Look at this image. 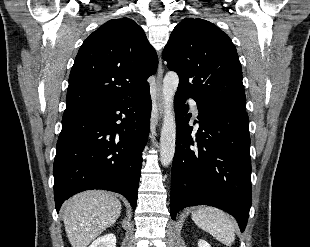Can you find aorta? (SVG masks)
Segmentation results:
<instances>
[{"label": "aorta", "instance_id": "obj_1", "mask_svg": "<svg viewBox=\"0 0 310 247\" xmlns=\"http://www.w3.org/2000/svg\"><path fill=\"white\" fill-rule=\"evenodd\" d=\"M179 84L175 72H168L163 80L162 94L164 118L160 137V161L164 167L170 165L175 154L176 125L173 113V99Z\"/></svg>", "mask_w": 310, "mask_h": 247}]
</instances>
